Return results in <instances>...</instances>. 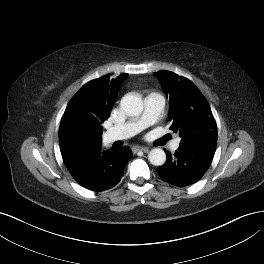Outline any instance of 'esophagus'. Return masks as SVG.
<instances>
[{"instance_id": "obj_1", "label": "esophagus", "mask_w": 264, "mask_h": 264, "mask_svg": "<svg viewBox=\"0 0 264 264\" xmlns=\"http://www.w3.org/2000/svg\"><path fill=\"white\" fill-rule=\"evenodd\" d=\"M149 148L148 147H143V146H134L132 148V152L136 153L138 151H143V152H148Z\"/></svg>"}]
</instances>
